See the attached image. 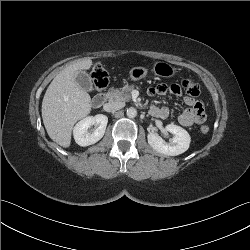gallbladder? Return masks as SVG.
I'll return each mask as SVG.
<instances>
[{
  "instance_id": "bac80fb5",
  "label": "gallbladder",
  "mask_w": 250,
  "mask_h": 250,
  "mask_svg": "<svg viewBox=\"0 0 250 250\" xmlns=\"http://www.w3.org/2000/svg\"><path fill=\"white\" fill-rule=\"evenodd\" d=\"M75 81L78 86L86 91L93 90V83L91 77L84 71H79L75 77Z\"/></svg>"
}]
</instances>
